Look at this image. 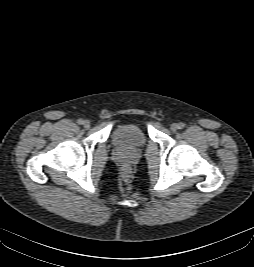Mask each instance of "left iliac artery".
Wrapping results in <instances>:
<instances>
[{
	"label": "left iliac artery",
	"instance_id": "obj_1",
	"mask_svg": "<svg viewBox=\"0 0 254 267\" xmlns=\"http://www.w3.org/2000/svg\"><path fill=\"white\" fill-rule=\"evenodd\" d=\"M184 127H185V124H184V123H179V124H178V128H179V129H183Z\"/></svg>",
	"mask_w": 254,
	"mask_h": 267
}]
</instances>
